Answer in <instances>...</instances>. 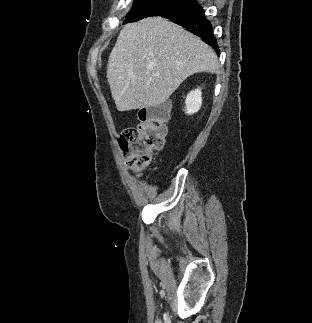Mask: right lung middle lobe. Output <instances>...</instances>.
<instances>
[{
  "mask_svg": "<svg viewBox=\"0 0 312 323\" xmlns=\"http://www.w3.org/2000/svg\"><path fill=\"white\" fill-rule=\"evenodd\" d=\"M196 0H134L124 24L150 16H161L193 4Z\"/></svg>",
  "mask_w": 312,
  "mask_h": 323,
  "instance_id": "dd1d6c3e",
  "label": "right lung middle lobe"
}]
</instances>
